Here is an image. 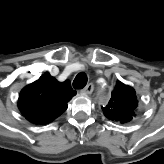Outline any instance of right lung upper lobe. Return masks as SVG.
<instances>
[{
	"instance_id": "obj_1",
	"label": "right lung upper lobe",
	"mask_w": 164,
	"mask_h": 164,
	"mask_svg": "<svg viewBox=\"0 0 164 164\" xmlns=\"http://www.w3.org/2000/svg\"><path fill=\"white\" fill-rule=\"evenodd\" d=\"M76 92L70 81L58 82L49 73L26 86L19 95L18 107L33 124H46L66 111Z\"/></svg>"
}]
</instances>
